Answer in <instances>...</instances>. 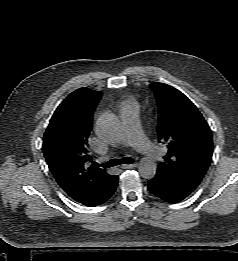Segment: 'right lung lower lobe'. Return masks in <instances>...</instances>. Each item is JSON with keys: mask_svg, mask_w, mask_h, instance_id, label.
Masks as SVG:
<instances>
[{"mask_svg": "<svg viewBox=\"0 0 238 261\" xmlns=\"http://www.w3.org/2000/svg\"><path fill=\"white\" fill-rule=\"evenodd\" d=\"M118 185V176H112L109 183L102 189V191L93 197L91 200L86 202V206H96L105 203L114 194Z\"/></svg>", "mask_w": 238, "mask_h": 261, "instance_id": "98d812e1", "label": "right lung lower lobe"}]
</instances>
